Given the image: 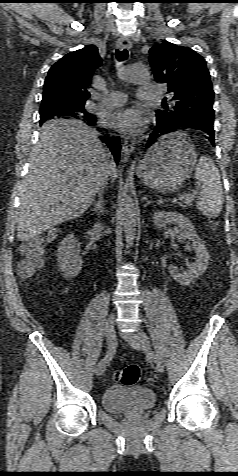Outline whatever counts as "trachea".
<instances>
[{
    "instance_id": "obj_1",
    "label": "trachea",
    "mask_w": 238,
    "mask_h": 476,
    "mask_svg": "<svg viewBox=\"0 0 238 476\" xmlns=\"http://www.w3.org/2000/svg\"><path fill=\"white\" fill-rule=\"evenodd\" d=\"M115 55L117 60L121 62L128 58V51L126 49H123L122 51L117 49Z\"/></svg>"
}]
</instances>
